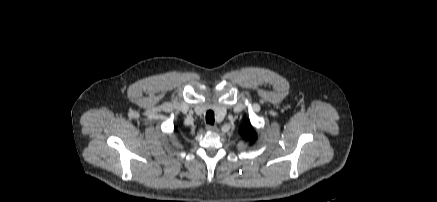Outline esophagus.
<instances>
[{
    "label": "esophagus",
    "mask_w": 437,
    "mask_h": 202,
    "mask_svg": "<svg viewBox=\"0 0 437 202\" xmlns=\"http://www.w3.org/2000/svg\"><path fill=\"white\" fill-rule=\"evenodd\" d=\"M206 130H208V131H216L217 130V126L208 124V125H206Z\"/></svg>",
    "instance_id": "1"
}]
</instances>
